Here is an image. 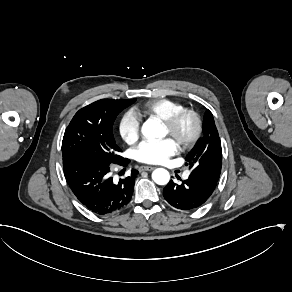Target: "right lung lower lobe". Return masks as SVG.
Here are the masks:
<instances>
[{
  "label": "right lung lower lobe",
  "instance_id": "98d812e1",
  "mask_svg": "<svg viewBox=\"0 0 292 292\" xmlns=\"http://www.w3.org/2000/svg\"><path fill=\"white\" fill-rule=\"evenodd\" d=\"M129 162L126 158L117 163H104L91 158L66 157L63 158V170L77 199L92 212L108 215L128 205L138 174L137 170L132 169L129 176L115 182L110 176V166H127Z\"/></svg>",
  "mask_w": 292,
  "mask_h": 292
}]
</instances>
